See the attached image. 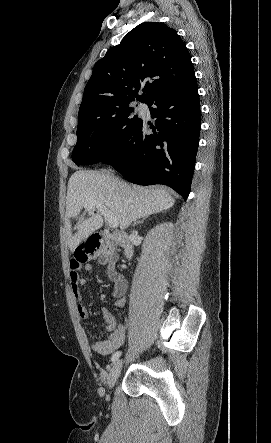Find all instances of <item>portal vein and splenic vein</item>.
Masks as SVG:
<instances>
[{
    "instance_id": "18ae733b",
    "label": "portal vein and splenic vein",
    "mask_w": 271,
    "mask_h": 443,
    "mask_svg": "<svg viewBox=\"0 0 271 443\" xmlns=\"http://www.w3.org/2000/svg\"><path fill=\"white\" fill-rule=\"evenodd\" d=\"M84 208H86L88 212H91V210H95V208H97L98 212H100L101 216H104L110 227H117V225H119V222L117 218H115L114 214L109 212V210H107L103 204H99V202H89V204H84Z\"/></svg>"
}]
</instances>
